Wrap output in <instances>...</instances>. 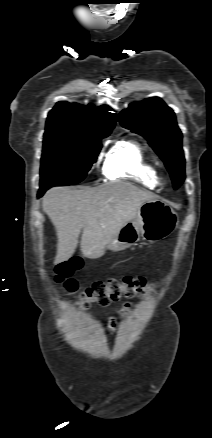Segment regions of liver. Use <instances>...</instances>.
I'll return each mask as SVG.
<instances>
[{
    "mask_svg": "<svg viewBox=\"0 0 212 438\" xmlns=\"http://www.w3.org/2000/svg\"><path fill=\"white\" fill-rule=\"evenodd\" d=\"M158 196L129 183L112 182L95 188H51L43 197L42 208L57 234L55 264L71 258L81 230L80 249L89 259L101 257L105 247L141 205Z\"/></svg>",
    "mask_w": 212,
    "mask_h": 438,
    "instance_id": "liver-1",
    "label": "liver"
}]
</instances>
